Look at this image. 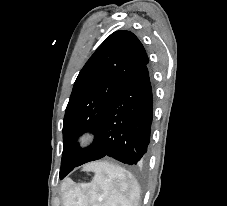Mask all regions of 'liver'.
<instances>
[{"mask_svg":"<svg viewBox=\"0 0 227 206\" xmlns=\"http://www.w3.org/2000/svg\"><path fill=\"white\" fill-rule=\"evenodd\" d=\"M95 164H90L88 166L85 167V169H90L91 167H93Z\"/></svg>","mask_w":227,"mask_h":206,"instance_id":"liver-1","label":"liver"}]
</instances>
